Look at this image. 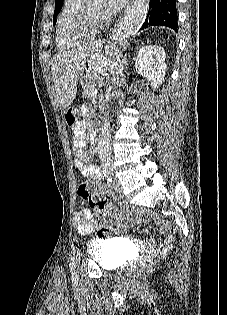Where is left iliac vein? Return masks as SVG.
I'll return each instance as SVG.
<instances>
[{"label": "left iliac vein", "instance_id": "obj_1", "mask_svg": "<svg viewBox=\"0 0 227 315\" xmlns=\"http://www.w3.org/2000/svg\"><path fill=\"white\" fill-rule=\"evenodd\" d=\"M113 187L115 190L119 191L120 190V182L117 178H114V181H113Z\"/></svg>", "mask_w": 227, "mask_h": 315}]
</instances>
